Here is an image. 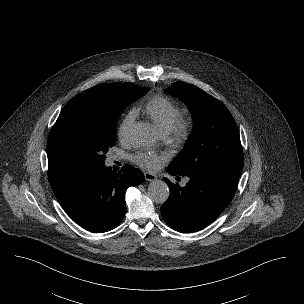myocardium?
Wrapping results in <instances>:
<instances>
[{"mask_svg": "<svg viewBox=\"0 0 304 304\" xmlns=\"http://www.w3.org/2000/svg\"><path fill=\"white\" fill-rule=\"evenodd\" d=\"M193 127V119L189 115L180 114L166 135L173 142L183 143L191 136Z\"/></svg>", "mask_w": 304, "mask_h": 304, "instance_id": "myocardium-1", "label": "myocardium"}]
</instances>
